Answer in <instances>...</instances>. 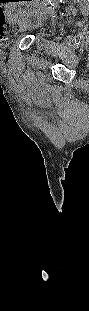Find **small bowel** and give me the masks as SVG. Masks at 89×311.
Segmentation results:
<instances>
[{
	"mask_svg": "<svg viewBox=\"0 0 89 311\" xmlns=\"http://www.w3.org/2000/svg\"><path fill=\"white\" fill-rule=\"evenodd\" d=\"M8 18H10V19H16L17 18V15L15 14V13H10V14H8ZM10 37V35L8 34V35H6V36H4V38L5 39H8Z\"/></svg>",
	"mask_w": 89,
	"mask_h": 311,
	"instance_id": "1",
	"label": "small bowel"
}]
</instances>
